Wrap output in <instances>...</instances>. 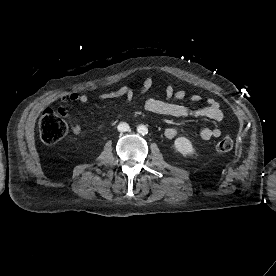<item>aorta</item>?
<instances>
[{
    "label": "aorta",
    "mask_w": 276,
    "mask_h": 276,
    "mask_svg": "<svg viewBox=\"0 0 276 276\" xmlns=\"http://www.w3.org/2000/svg\"><path fill=\"white\" fill-rule=\"evenodd\" d=\"M137 132L141 135H146L148 133V128L145 125L141 124L137 127Z\"/></svg>",
    "instance_id": "762f6f07"
}]
</instances>
